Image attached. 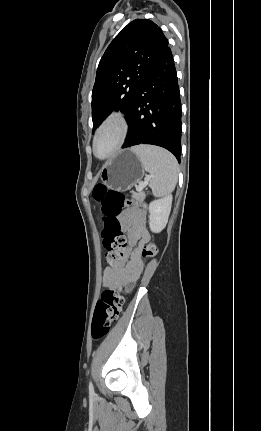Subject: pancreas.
<instances>
[{"instance_id": "pancreas-1", "label": "pancreas", "mask_w": 261, "mask_h": 431, "mask_svg": "<svg viewBox=\"0 0 261 431\" xmlns=\"http://www.w3.org/2000/svg\"><path fill=\"white\" fill-rule=\"evenodd\" d=\"M132 198L138 202H143L145 199V193L144 192H139V193H133L132 194Z\"/></svg>"}]
</instances>
